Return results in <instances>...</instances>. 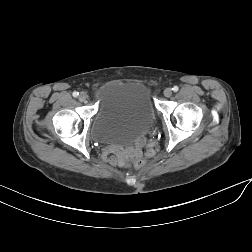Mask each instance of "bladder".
<instances>
[{
    "instance_id": "1",
    "label": "bladder",
    "mask_w": 252,
    "mask_h": 252,
    "mask_svg": "<svg viewBox=\"0 0 252 252\" xmlns=\"http://www.w3.org/2000/svg\"><path fill=\"white\" fill-rule=\"evenodd\" d=\"M97 109L91 134L99 144H128L149 131L155 120L147 87L139 82L112 81L95 91Z\"/></svg>"
}]
</instances>
